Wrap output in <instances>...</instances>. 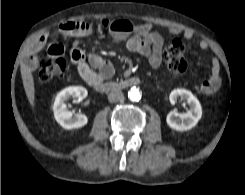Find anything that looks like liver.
I'll return each instance as SVG.
<instances>
[{
	"instance_id": "obj_1",
	"label": "liver",
	"mask_w": 245,
	"mask_h": 195,
	"mask_svg": "<svg viewBox=\"0 0 245 195\" xmlns=\"http://www.w3.org/2000/svg\"><path fill=\"white\" fill-rule=\"evenodd\" d=\"M21 76L26 96L30 105L33 107L35 100L34 78L31 73V69L24 64L21 65Z\"/></svg>"
}]
</instances>
